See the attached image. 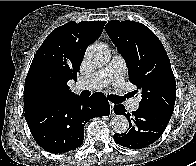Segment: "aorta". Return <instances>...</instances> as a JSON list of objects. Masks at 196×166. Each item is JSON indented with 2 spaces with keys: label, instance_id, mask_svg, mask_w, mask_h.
Instances as JSON below:
<instances>
[{
  "label": "aorta",
  "instance_id": "obj_1",
  "mask_svg": "<svg viewBox=\"0 0 196 166\" xmlns=\"http://www.w3.org/2000/svg\"><path fill=\"white\" fill-rule=\"evenodd\" d=\"M85 57L92 65L104 66L110 61V50L104 44H92L87 48ZM111 127L118 134L125 133L129 127L128 119L124 115H115L111 119Z\"/></svg>",
  "mask_w": 196,
  "mask_h": 166
}]
</instances>
